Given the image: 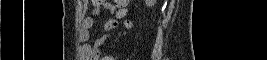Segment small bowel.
I'll return each mask as SVG.
<instances>
[{"label": "small bowel", "mask_w": 267, "mask_h": 60, "mask_svg": "<svg viewBox=\"0 0 267 60\" xmlns=\"http://www.w3.org/2000/svg\"><path fill=\"white\" fill-rule=\"evenodd\" d=\"M118 9L116 4H111L108 2L101 3L99 7L93 11L91 16H88L83 20L82 29L80 33V38L82 41H87L89 39L90 33L89 28L94 24L95 19L101 15L103 10H109L114 13ZM114 19H109L104 25V34L95 39L91 45H86L84 50L92 56H97L100 53L101 47L112 38V23Z\"/></svg>", "instance_id": "small-bowel-1"}]
</instances>
